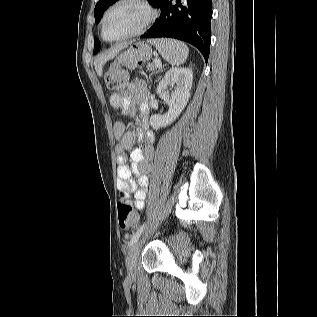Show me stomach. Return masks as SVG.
Segmentation results:
<instances>
[{
  "instance_id": "0dacf381",
  "label": "stomach",
  "mask_w": 317,
  "mask_h": 317,
  "mask_svg": "<svg viewBox=\"0 0 317 317\" xmlns=\"http://www.w3.org/2000/svg\"><path fill=\"white\" fill-rule=\"evenodd\" d=\"M151 56L152 49L147 43L136 42L117 57L122 58L121 65H124L125 68L132 69L135 66H147Z\"/></svg>"
}]
</instances>
